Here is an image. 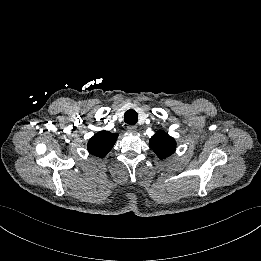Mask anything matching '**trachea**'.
Wrapping results in <instances>:
<instances>
[{"label":"trachea","instance_id":"obj_1","mask_svg":"<svg viewBox=\"0 0 261 261\" xmlns=\"http://www.w3.org/2000/svg\"><path fill=\"white\" fill-rule=\"evenodd\" d=\"M138 121V114L135 110L129 109L124 114V122L129 125H135Z\"/></svg>","mask_w":261,"mask_h":261}]
</instances>
